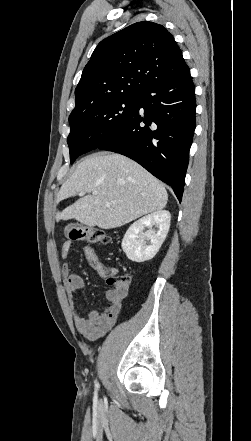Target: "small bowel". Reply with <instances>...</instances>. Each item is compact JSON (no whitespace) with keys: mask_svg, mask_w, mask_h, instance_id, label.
Listing matches in <instances>:
<instances>
[{"mask_svg":"<svg viewBox=\"0 0 251 441\" xmlns=\"http://www.w3.org/2000/svg\"><path fill=\"white\" fill-rule=\"evenodd\" d=\"M71 243L65 242L61 246V257H69ZM86 260L96 272L103 277L107 270L99 261L98 256L91 246L84 247ZM62 274L65 278V287L70 297V307L73 314L74 323L78 332L88 340H96L105 335L116 323L120 313L123 300L127 295L128 286H114L105 292L107 306L103 311L93 310L87 316L83 315L77 308L73 296L76 292L84 288L83 278L75 273L69 263L62 266Z\"/></svg>","mask_w":251,"mask_h":441,"instance_id":"small-bowel-1","label":"small bowel"}]
</instances>
